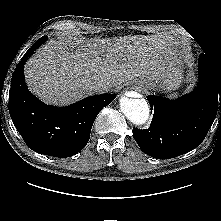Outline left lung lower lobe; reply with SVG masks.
I'll use <instances>...</instances> for the list:
<instances>
[{"mask_svg": "<svg viewBox=\"0 0 221 221\" xmlns=\"http://www.w3.org/2000/svg\"><path fill=\"white\" fill-rule=\"evenodd\" d=\"M199 83L176 100L148 96L154 111L148 129L133 128V138L151 157L169 159L195 149L206 137L221 104V70L205 54L198 61Z\"/></svg>", "mask_w": 221, "mask_h": 221, "instance_id": "1", "label": "left lung lower lobe"}]
</instances>
